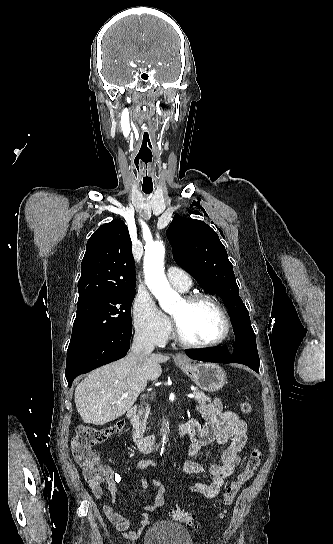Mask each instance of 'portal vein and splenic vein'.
Segmentation results:
<instances>
[{"label":"portal vein and splenic vein","mask_w":333,"mask_h":544,"mask_svg":"<svg viewBox=\"0 0 333 544\" xmlns=\"http://www.w3.org/2000/svg\"><path fill=\"white\" fill-rule=\"evenodd\" d=\"M122 396H123V397H126V396H127V393H126V394H123ZM187 397H188V398H195V395L192 394V393H189V394H187Z\"/></svg>","instance_id":"portal-vein-and-splenic-vein-1"}]
</instances>
